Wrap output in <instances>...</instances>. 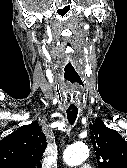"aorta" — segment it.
<instances>
[{
	"label": "aorta",
	"instance_id": "obj_1",
	"mask_svg": "<svg viewBox=\"0 0 127 168\" xmlns=\"http://www.w3.org/2000/svg\"><path fill=\"white\" fill-rule=\"evenodd\" d=\"M89 156V151L83 143H75L69 146L64 152V161L70 166L82 164Z\"/></svg>",
	"mask_w": 127,
	"mask_h": 168
}]
</instances>
